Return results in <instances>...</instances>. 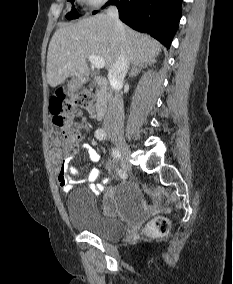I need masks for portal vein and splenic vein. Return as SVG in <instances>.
<instances>
[{"label":"portal vein and splenic vein","instance_id":"portal-vein-and-splenic-vein-1","mask_svg":"<svg viewBox=\"0 0 233 284\" xmlns=\"http://www.w3.org/2000/svg\"><path fill=\"white\" fill-rule=\"evenodd\" d=\"M88 58L90 63L97 69H102L106 65V62L102 57L96 55H90Z\"/></svg>","mask_w":233,"mask_h":284}]
</instances>
